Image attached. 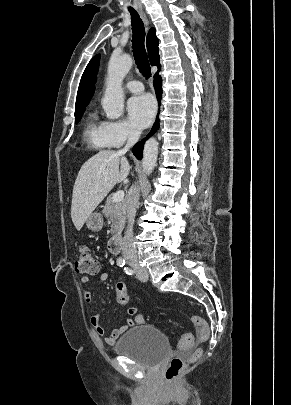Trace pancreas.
<instances>
[{
	"label": "pancreas",
	"instance_id": "1",
	"mask_svg": "<svg viewBox=\"0 0 291 405\" xmlns=\"http://www.w3.org/2000/svg\"><path fill=\"white\" fill-rule=\"evenodd\" d=\"M104 216L111 221V233L114 236L120 235L126 220L125 201L113 202V194L109 195L104 209Z\"/></svg>",
	"mask_w": 291,
	"mask_h": 405
}]
</instances>
